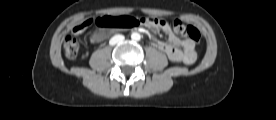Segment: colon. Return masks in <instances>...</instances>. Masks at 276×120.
<instances>
[{
	"mask_svg": "<svg viewBox=\"0 0 276 120\" xmlns=\"http://www.w3.org/2000/svg\"><path fill=\"white\" fill-rule=\"evenodd\" d=\"M91 20H86L82 24L77 26V29L83 31L91 24ZM139 23L142 24H154L161 25L163 20L153 17H142L136 19L130 16H102L96 19V24L105 30L110 29H128L135 27ZM174 32L179 37H187L189 40L198 43L200 41L199 31L193 27L182 23L181 21H175L173 24ZM79 52V43L75 37H67L64 42V53L65 55L73 59L77 57Z\"/></svg>",
	"mask_w": 276,
	"mask_h": 120,
	"instance_id": "colon-1",
	"label": "colon"
}]
</instances>
